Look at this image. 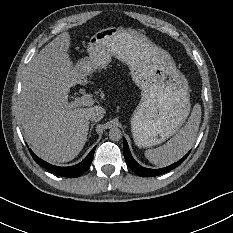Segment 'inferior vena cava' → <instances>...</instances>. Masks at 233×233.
Returning a JSON list of instances; mask_svg holds the SVG:
<instances>
[{
  "mask_svg": "<svg viewBox=\"0 0 233 233\" xmlns=\"http://www.w3.org/2000/svg\"><path fill=\"white\" fill-rule=\"evenodd\" d=\"M104 116V110L102 108H95L88 116V119L92 121H99Z\"/></svg>",
  "mask_w": 233,
  "mask_h": 233,
  "instance_id": "602c4592",
  "label": "inferior vena cava"
}]
</instances>
